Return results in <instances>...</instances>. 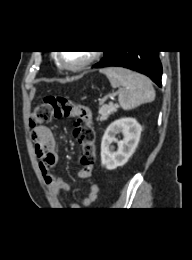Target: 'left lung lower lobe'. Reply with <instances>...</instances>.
Wrapping results in <instances>:
<instances>
[{"label":"left lung lower lobe","instance_id":"obj_1","mask_svg":"<svg viewBox=\"0 0 192 260\" xmlns=\"http://www.w3.org/2000/svg\"><path fill=\"white\" fill-rule=\"evenodd\" d=\"M120 66L147 75L161 87L162 65L158 50L106 51L102 60L93 68Z\"/></svg>","mask_w":192,"mask_h":260}]
</instances>
